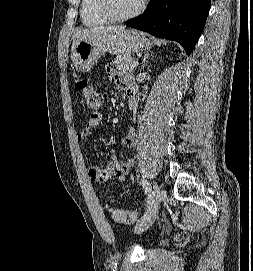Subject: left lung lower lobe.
I'll return each instance as SVG.
<instances>
[{
  "mask_svg": "<svg viewBox=\"0 0 253 271\" xmlns=\"http://www.w3.org/2000/svg\"><path fill=\"white\" fill-rule=\"evenodd\" d=\"M211 0H151L126 26L179 42L190 55L204 28Z\"/></svg>",
  "mask_w": 253,
  "mask_h": 271,
  "instance_id": "1",
  "label": "left lung lower lobe"
}]
</instances>
